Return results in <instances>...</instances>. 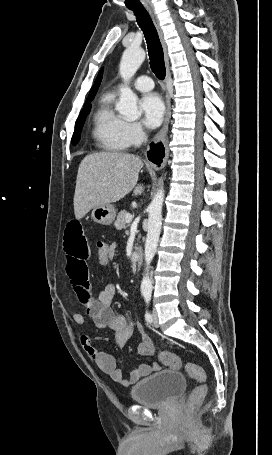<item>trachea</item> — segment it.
I'll list each match as a JSON object with an SVG mask.
<instances>
[{"instance_id": "3493384b", "label": "trachea", "mask_w": 272, "mask_h": 455, "mask_svg": "<svg viewBox=\"0 0 272 455\" xmlns=\"http://www.w3.org/2000/svg\"><path fill=\"white\" fill-rule=\"evenodd\" d=\"M130 9L134 12L137 23L144 33L148 47L150 68L158 79L163 80L166 75L164 53L153 21L143 6Z\"/></svg>"}]
</instances>
